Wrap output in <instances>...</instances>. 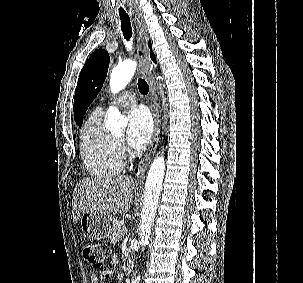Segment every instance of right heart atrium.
Segmentation results:
<instances>
[{
	"label": "right heart atrium",
	"mask_w": 303,
	"mask_h": 283,
	"mask_svg": "<svg viewBox=\"0 0 303 283\" xmlns=\"http://www.w3.org/2000/svg\"><path fill=\"white\" fill-rule=\"evenodd\" d=\"M118 148H119V150H120L121 152H126V149H125V147L123 146V144L118 143Z\"/></svg>",
	"instance_id": "d8ad5b80"
}]
</instances>
